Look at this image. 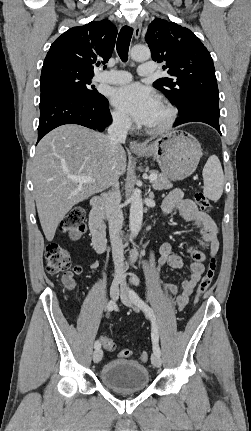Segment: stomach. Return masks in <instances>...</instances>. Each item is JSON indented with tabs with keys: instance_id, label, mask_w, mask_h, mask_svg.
Here are the masks:
<instances>
[{
	"instance_id": "0dacf381",
	"label": "stomach",
	"mask_w": 251,
	"mask_h": 431,
	"mask_svg": "<svg viewBox=\"0 0 251 431\" xmlns=\"http://www.w3.org/2000/svg\"><path fill=\"white\" fill-rule=\"evenodd\" d=\"M138 156H153L166 177L183 180L197 168L202 155L199 142L185 131H172L145 144Z\"/></svg>"
}]
</instances>
